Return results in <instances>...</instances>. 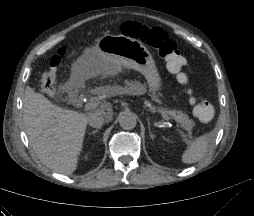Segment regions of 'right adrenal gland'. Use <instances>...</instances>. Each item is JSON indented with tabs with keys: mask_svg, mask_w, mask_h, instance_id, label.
Here are the masks:
<instances>
[{
	"mask_svg": "<svg viewBox=\"0 0 254 216\" xmlns=\"http://www.w3.org/2000/svg\"><path fill=\"white\" fill-rule=\"evenodd\" d=\"M98 130H99V129L93 130V131H92V134L97 133V132H98Z\"/></svg>",
	"mask_w": 254,
	"mask_h": 216,
	"instance_id": "right-adrenal-gland-1",
	"label": "right adrenal gland"
}]
</instances>
